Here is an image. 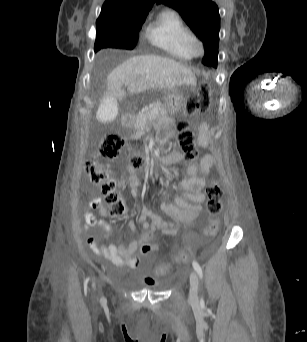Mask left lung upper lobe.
<instances>
[{
  "label": "left lung upper lobe",
  "instance_id": "obj_1",
  "mask_svg": "<svg viewBox=\"0 0 307 342\" xmlns=\"http://www.w3.org/2000/svg\"><path fill=\"white\" fill-rule=\"evenodd\" d=\"M177 10L187 25L203 41L204 65L217 67L220 16L211 0H156Z\"/></svg>",
  "mask_w": 307,
  "mask_h": 342
}]
</instances>
